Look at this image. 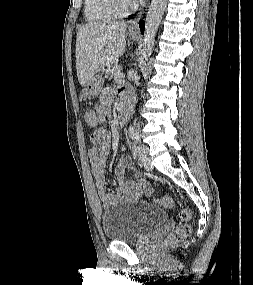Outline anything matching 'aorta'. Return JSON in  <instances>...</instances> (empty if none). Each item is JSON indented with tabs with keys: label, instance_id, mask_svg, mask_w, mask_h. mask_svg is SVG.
Returning a JSON list of instances; mask_svg holds the SVG:
<instances>
[{
	"label": "aorta",
	"instance_id": "aorta-1",
	"mask_svg": "<svg viewBox=\"0 0 253 285\" xmlns=\"http://www.w3.org/2000/svg\"><path fill=\"white\" fill-rule=\"evenodd\" d=\"M167 0H152L148 8L145 20L144 39L141 47V62L148 60L154 47V40L161 23L164 11L166 9ZM129 132L133 134L135 128L130 126Z\"/></svg>",
	"mask_w": 253,
	"mask_h": 285
}]
</instances>
